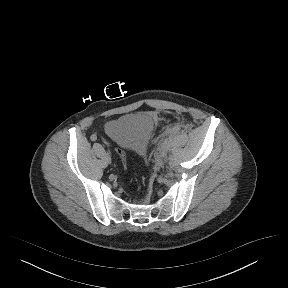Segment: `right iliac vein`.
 <instances>
[{
  "instance_id": "63e3f726",
  "label": "right iliac vein",
  "mask_w": 288,
  "mask_h": 288,
  "mask_svg": "<svg viewBox=\"0 0 288 288\" xmlns=\"http://www.w3.org/2000/svg\"><path fill=\"white\" fill-rule=\"evenodd\" d=\"M106 158H107L108 162H111V156L109 153L106 154Z\"/></svg>"
}]
</instances>
